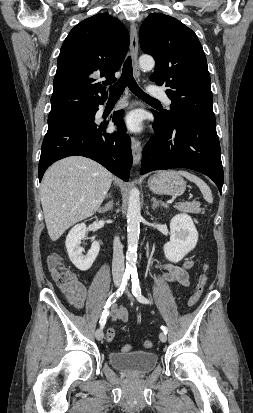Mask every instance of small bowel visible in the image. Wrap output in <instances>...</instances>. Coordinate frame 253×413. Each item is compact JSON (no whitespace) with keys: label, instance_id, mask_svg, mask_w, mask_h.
<instances>
[{"label":"small bowel","instance_id":"c3829d8e","mask_svg":"<svg viewBox=\"0 0 253 413\" xmlns=\"http://www.w3.org/2000/svg\"><path fill=\"white\" fill-rule=\"evenodd\" d=\"M194 260L192 258L186 259L181 265H174L166 263L160 266L164 279L170 282H176L183 286L189 285L188 270L193 266ZM61 291L64 294L67 301L76 309L84 307L88 290L87 287L80 282L76 277L68 285L61 286ZM110 317L113 320L128 321L129 313L122 307L114 305L110 310Z\"/></svg>","mask_w":253,"mask_h":413}]
</instances>
